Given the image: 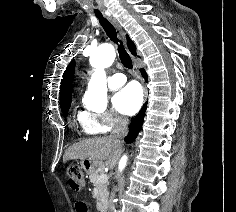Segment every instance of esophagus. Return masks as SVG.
Masks as SVG:
<instances>
[{"instance_id": "1", "label": "esophagus", "mask_w": 236, "mask_h": 212, "mask_svg": "<svg viewBox=\"0 0 236 212\" xmlns=\"http://www.w3.org/2000/svg\"><path fill=\"white\" fill-rule=\"evenodd\" d=\"M106 16L110 20V22L115 26V28L118 31L119 37L125 43V32L121 28L120 24L117 22V20L112 15H106Z\"/></svg>"}]
</instances>
